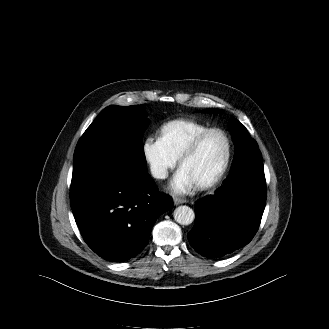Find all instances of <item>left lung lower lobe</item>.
<instances>
[{
  "mask_svg": "<svg viewBox=\"0 0 329 329\" xmlns=\"http://www.w3.org/2000/svg\"><path fill=\"white\" fill-rule=\"evenodd\" d=\"M218 191L196 203L194 227L188 233L190 245L208 258L244 247L257 232L266 202L263 164L234 161Z\"/></svg>",
  "mask_w": 329,
  "mask_h": 329,
  "instance_id": "left-lung-lower-lobe-1",
  "label": "left lung lower lobe"
}]
</instances>
